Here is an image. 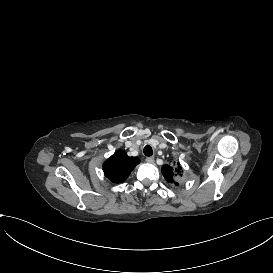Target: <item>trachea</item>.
Masks as SVG:
<instances>
[{
    "mask_svg": "<svg viewBox=\"0 0 273 273\" xmlns=\"http://www.w3.org/2000/svg\"><path fill=\"white\" fill-rule=\"evenodd\" d=\"M143 151H144V154L148 157L152 156V154H153V149L150 145H146L144 147Z\"/></svg>",
    "mask_w": 273,
    "mask_h": 273,
    "instance_id": "3493384b",
    "label": "trachea"
}]
</instances>
